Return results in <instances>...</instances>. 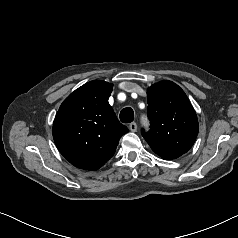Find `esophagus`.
Wrapping results in <instances>:
<instances>
[{
  "mask_svg": "<svg viewBox=\"0 0 238 238\" xmlns=\"http://www.w3.org/2000/svg\"><path fill=\"white\" fill-rule=\"evenodd\" d=\"M129 129L132 132H136L137 131V124L135 122H132L129 124Z\"/></svg>",
  "mask_w": 238,
  "mask_h": 238,
  "instance_id": "34e87169",
  "label": "esophagus"
}]
</instances>
